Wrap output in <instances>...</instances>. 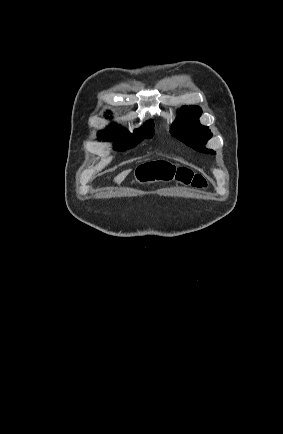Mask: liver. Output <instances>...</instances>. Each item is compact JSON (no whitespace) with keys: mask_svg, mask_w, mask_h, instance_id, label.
Returning <instances> with one entry per match:
<instances>
[{"mask_svg":"<svg viewBox=\"0 0 283 434\" xmlns=\"http://www.w3.org/2000/svg\"><path fill=\"white\" fill-rule=\"evenodd\" d=\"M131 169L125 170L123 172H121L120 174H118L115 178L114 181L118 184H120L125 178L126 176L130 173Z\"/></svg>","mask_w":283,"mask_h":434,"instance_id":"1","label":"liver"}]
</instances>
